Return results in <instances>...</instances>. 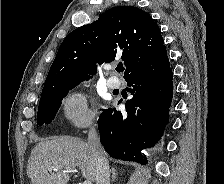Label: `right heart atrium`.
<instances>
[{"instance_id": "right-heart-atrium-1", "label": "right heart atrium", "mask_w": 224, "mask_h": 184, "mask_svg": "<svg viewBox=\"0 0 224 184\" xmlns=\"http://www.w3.org/2000/svg\"><path fill=\"white\" fill-rule=\"evenodd\" d=\"M63 110L65 118L76 127H87L95 120L86 97L79 92L66 97Z\"/></svg>"}]
</instances>
